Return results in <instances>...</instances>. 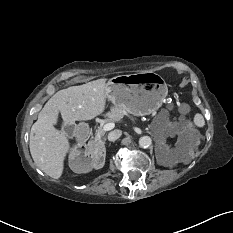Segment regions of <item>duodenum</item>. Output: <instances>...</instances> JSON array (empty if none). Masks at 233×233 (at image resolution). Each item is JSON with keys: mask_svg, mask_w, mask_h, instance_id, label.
<instances>
[{"mask_svg": "<svg viewBox=\"0 0 233 233\" xmlns=\"http://www.w3.org/2000/svg\"><path fill=\"white\" fill-rule=\"evenodd\" d=\"M88 135H89V132L86 128H83V127L79 128V130H78V137L79 138H85Z\"/></svg>", "mask_w": 233, "mask_h": 233, "instance_id": "duodenum-1", "label": "duodenum"}]
</instances>
